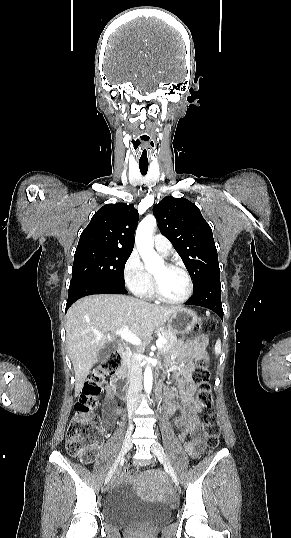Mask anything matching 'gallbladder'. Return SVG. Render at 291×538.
Wrapping results in <instances>:
<instances>
[{"instance_id": "obj_1", "label": "gallbladder", "mask_w": 291, "mask_h": 538, "mask_svg": "<svg viewBox=\"0 0 291 538\" xmlns=\"http://www.w3.org/2000/svg\"><path fill=\"white\" fill-rule=\"evenodd\" d=\"M118 345L115 342L107 343L98 354V362L105 361L110 354L117 349Z\"/></svg>"}]
</instances>
